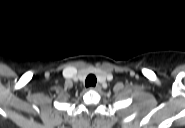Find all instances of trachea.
<instances>
[{
    "label": "trachea",
    "instance_id": "obj_1",
    "mask_svg": "<svg viewBox=\"0 0 185 128\" xmlns=\"http://www.w3.org/2000/svg\"><path fill=\"white\" fill-rule=\"evenodd\" d=\"M96 82H97L96 76L93 74H90L87 76V78L85 80V86L86 87H94V86H96Z\"/></svg>",
    "mask_w": 185,
    "mask_h": 128
}]
</instances>
